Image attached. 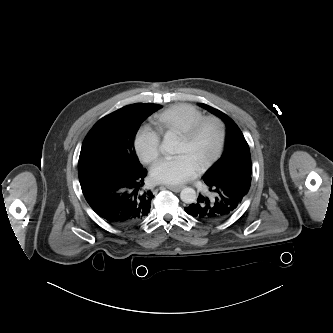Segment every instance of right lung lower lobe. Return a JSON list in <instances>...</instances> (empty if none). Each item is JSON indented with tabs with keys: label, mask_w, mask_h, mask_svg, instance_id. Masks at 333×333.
I'll list each match as a JSON object with an SVG mask.
<instances>
[{
	"label": "right lung lower lobe",
	"mask_w": 333,
	"mask_h": 333,
	"mask_svg": "<svg viewBox=\"0 0 333 333\" xmlns=\"http://www.w3.org/2000/svg\"><path fill=\"white\" fill-rule=\"evenodd\" d=\"M84 197L90 207L114 225L127 226L140 222L148 215L151 191H143L147 171H121L103 166L78 169Z\"/></svg>",
	"instance_id": "right-lung-lower-lobe-1"
}]
</instances>
